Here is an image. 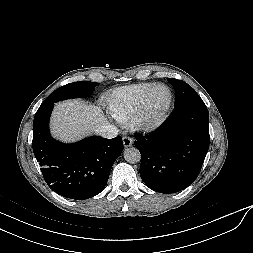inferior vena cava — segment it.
Segmentation results:
<instances>
[{
    "mask_svg": "<svg viewBox=\"0 0 253 253\" xmlns=\"http://www.w3.org/2000/svg\"><path fill=\"white\" fill-rule=\"evenodd\" d=\"M95 132L104 138L110 139L116 137L118 135L119 130L116 126L107 122L102 125H98L95 128Z\"/></svg>",
    "mask_w": 253,
    "mask_h": 253,
    "instance_id": "inferior-vena-cava-1",
    "label": "inferior vena cava"
}]
</instances>
